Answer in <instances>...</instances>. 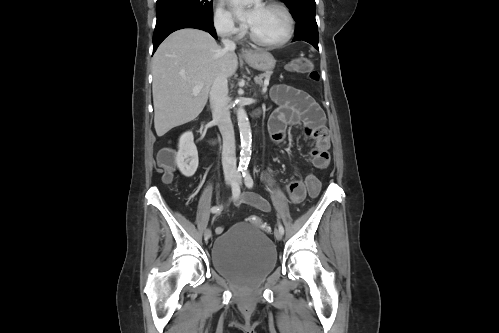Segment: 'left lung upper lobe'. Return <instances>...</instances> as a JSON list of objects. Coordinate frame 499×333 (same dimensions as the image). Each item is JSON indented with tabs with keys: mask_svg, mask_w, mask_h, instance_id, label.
Masks as SVG:
<instances>
[{
	"mask_svg": "<svg viewBox=\"0 0 499 333\" xmlns=\"http://www.w3.org/2000/svg\"><path fill=\"white\" fill-rule=\"evenodd\" d=\"M291 10L294 19L315 18V0H282Z\"/></svg>",
	"mask_w": 499,
	"mask_h": 333,
	"instance_id": "5c2ea615",
	"label": "left lung upper lobe"
}]
</instances>
